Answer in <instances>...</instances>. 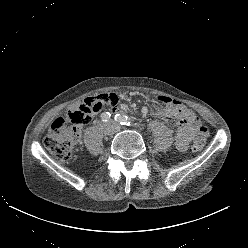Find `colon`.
Masks as SVG:
<instances>
[{
    "label": "colon",
    "instance_id": "1",
    "mask_svg": "<svg viewBox=\"0 0 248 248\" xmlns=\"http://www.w3.org/2000/svg\"><path fill=\"white\" fill-rule=\"evenodd\" d=\"M102 102L112 103V97L108 94L86 97L69 108L65 116L57 118L52 123L44 139V145L57 160L67 162L71 158L80 136V127L90 122L93 115L100 110ZM195 131L192 150L200 151L205 145L207 130L201 124H197Z\"/></svg>",
    "mask_w": 248,
    "mask_h": 248
}]
</instances>
